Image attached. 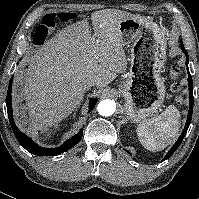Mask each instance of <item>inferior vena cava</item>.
Instances as JSON below:
<instances>
[{"label":"inferior vena cava","instance_id":"inferior-vena-cava-1","mask_svg":"<svg viewBox=\"0 0 199 199\" xmlns=\"http://www.w3.org/2000/svg\"><path fill=\"white\" fill-rule=\"evenodd\" d=\"M92 86H95V82L93 80H90V81L86 82L85 89L88 90Z\"/></svg>","mask_w":199,"mask_h":199}]
</instances>
